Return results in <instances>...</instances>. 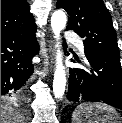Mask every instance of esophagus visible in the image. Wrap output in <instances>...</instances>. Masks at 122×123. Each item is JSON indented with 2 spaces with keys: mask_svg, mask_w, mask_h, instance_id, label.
Here are the masks:
<instances>
[{
  "mask_svg": "<svg viewBox=\"0 0 122 123\" xmlns=\"http://www.w3.org/2000/svg\"><path fill=\"white\" fill-rule=\"evenodd\" d=\"M49 52L51 54V64H52L53 63V54H54V44H53L52 40L49 43Z\"/></svg>",
  "mask_w": 122,
  "mask_h": 123,
  "instance_id": "esophagus-1",
  "label": "esophagus"
}]
</instances>
